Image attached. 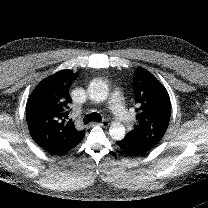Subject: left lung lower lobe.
Returning a JSON list of instances; mask_svg holds the SVG:
<instances>
[{
	"label": "left lung lower lobe",
	"instance_id": "1",
	"mask_svg": "<svg viewBox=\"0 0 208 208\" xmlns=\"http://www.w3.org/2000/svg\"><path fill=\"white\" fill-rule=\"evenodd\" d=\"M117 144L123 152L133 156L143 155L152 149V147L127 137L118 141Z\"/></svg>",
	"mask_w": 208,
	"mask_h": 208
}]
</instances>
